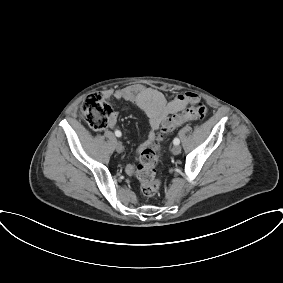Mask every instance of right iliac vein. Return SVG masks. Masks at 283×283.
<instances>
[{"instance_id": "63e3f726", "label": "right iliac vein", "mask_w": 283, "mask_h": 283, "mask_svg": "<svg viewBox=\"0 0 283 283\" xmlns=\"http://www.w3.org/2000/svg\"><path fill=\"white\" fill-rule=\"evenodd\" d=\"M115 147H116V151L118 153H121L123 151V146H122V143L120 141L116 142Z\"/></svg>"}]
</instances>
